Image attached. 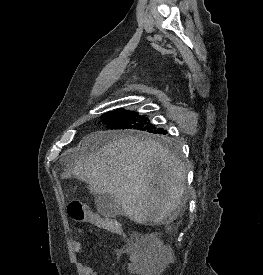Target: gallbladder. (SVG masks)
I'll use <instances>...</instances> for the list:
<instances>
[{
  "label": "gallbladder",
  "instance_id": "gallbladder-1",
  "mask_svg": "<svg viewBox=\"0 0 263 275\" xmlns=\"http://www.w3.org/2000/svg\"><path fill=\"white\" fill-rule=\"evenodd\" d=\"M95 204L98 212L104 217H116L123 214L121 204L110 194L95 195Z\"/></svg>",
  "mask_w": 263,
  "mask_h": 275
}]
</instances>
